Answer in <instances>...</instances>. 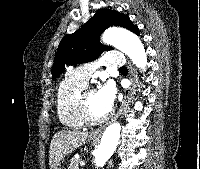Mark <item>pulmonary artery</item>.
Segmentation results:
<instances>
[{
    "label": "pulmonary artery",
    "mask_w": 200,
    "mask_h": 169,
    "mask_svg": "<svg viewBox=\"0 0 200 169\" xmlns=\"http://www.w3.org/2000/svg\"><path fill=\"white\" fill-rule=\"evenodd\" d=\"M124 63H125V60H124V57L122 56L121 52L115 50V51L108 53L105 57L99 59L96 62L80 65L75 70L70 71L68 73V76L71 79L86 85L91 74L99 65L107 64V65L120 67V66L124 65Z\"/></svg>",
    "instance_id": "obj_1"
}]
</instances>
